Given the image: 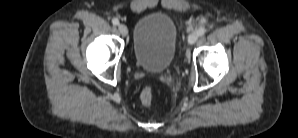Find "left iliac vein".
Instances as JSON below:
<instances>
[{
	"label": "left iliac vein",
	"mask_w": 298,
	"mask_h": 138,
	"mask_svg": "<svg viewBox=\"0 0 298 138\" xmlns=\"http://www.w3.org/2000/svg\"><path fill=\"white\" fill-rule=\"evenodd\" d=\"M198 37H199V34H198L197 31L192 32V33L188 36V44H189V45L194 44V43L197 41Z\"/></svg>",
	"instance_id": "obj_1"
}]
</instances>
